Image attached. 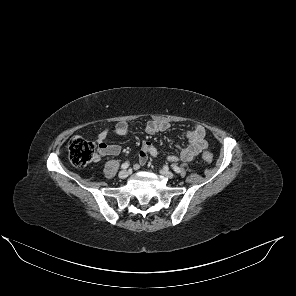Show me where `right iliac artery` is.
Returning a JSON list of instances; mask_svg holds the SVG:
<instances>
[{"label":"right iliac artery","mask_w":296,"mask_h":296,"mask_svg":"<svg viewBox=\"0 0 296 296\" xmlns=\"http://www.w3.org/2000/svg\"><path fill=\"white\" fill-rule=\"evenodd\" d=\"M129 167V163L128 162H125L121 165V168L122 169H127Z\"/></svg>","instance_id":"1"}]
</instances>
